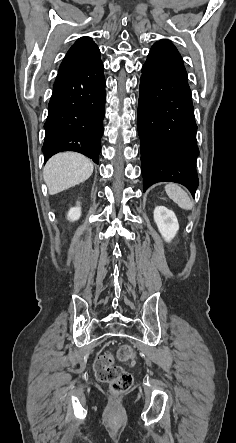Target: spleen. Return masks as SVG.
<instances>
[{"label": "spleen", "mask_w": 236, "mask_h": 443, "mask_svg": "<svg viewBox=\"0 0 236 443\" xmlns=\"http://www.w3.org/2000/svg\"><path fill=\"white\" fill-rule=\"evenodd\" d=\"M165 192L180 208L191 210L193 204L188 194L177 184L169 183L165 186Z\"/></svg>", "instance_id": "3e777b00"}]
</instances>
